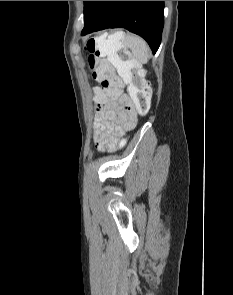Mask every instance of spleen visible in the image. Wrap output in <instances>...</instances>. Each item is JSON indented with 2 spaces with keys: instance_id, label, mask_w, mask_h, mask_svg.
<instances>
[{
  "instance_id": "obj_1",
  "label": "spleen",
  "mask_w": 233,
  "mask_h": 295,
  "mask_svg": "<svg viewBox=\"0 0 233 295\" xmlns=\"http://www.w3.org/2000/svg\"><path fill=\"white\" fill-rule=\"evenodd\" d=\"M102 56H107L108 60L121 70L124 63L119 58L117 52L121 48L127 47L132 51L133 56L141 63H147L149 50L147 43L139 36L125 35L122 31H117L108 36L107 40L98 41Z\"/></svg>"
}]
</instances>
